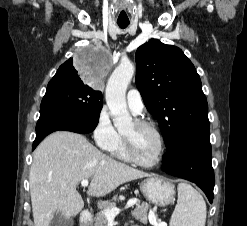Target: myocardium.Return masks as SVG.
Listing matches in <instances>:
<instances>
[{
  "mask_svg": "<svg viewBox=\"0 0 247 226\" xmlns=\"http://www.w3.org/2000/svg\"><path fill=\"white\" fill-rule=\"evenodd\" d=\"M133 123L136 127L139 128H149L156 134L159 140V153L157 158L152 162L141 161L136 157L133 151L130 137L127 134L122 133L123 147L128 160L135 163L138 166L145 168H152L157 166L158 164H160L165 154V139L163 134L161 133L160 129L151 121L137 119Z\"/></svg>",
  "mask_w": 247,
  "mask_h": 226,
  "instance_id": "f54148a6",
  "label": "myocardium"
}]
</instances>
